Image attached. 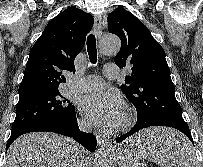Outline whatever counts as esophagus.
<instances>
[{
  "label": "esophagus",
  "mask_w": 203,
  "mask_h": 167,
  "mask_svg": "<svg viewBox=\"0 0 203 167\" xmlns=\"http://www.w3.org/2000/svg\"><path fill=\"white\" fill-rule=\"evenodd\" d=\"M94 29L97 37L100 38L102 35V18L99 15L94 16ZM109 138L110 136L107 134H99L97 136L98 145H104L109 140Z\"/></svg>",
  "instance_id": "obj_1"
}]
</instances>
